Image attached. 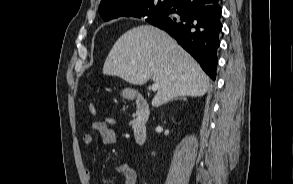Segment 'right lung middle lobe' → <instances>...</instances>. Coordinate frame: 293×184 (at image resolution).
<instances>
[{
	"label": "right lung middle lobe",
	"mask_w": 293,
	"mask_h": 184,
	"mask_svg": "<svg viewBox=\"0 0 293 184\" xmlns=\"http://www.w3.org/2000/svg\"><path fill=\"white\" fill-rule=\"evenodd\" d=\"M163 16V11L161 10H156V9H149V10H146L144 12H140L138 13L135 17H147V21H150V20H155V19H160L162 18Z\"/></svg>",
	"instance_id": "obj_1"
}]
</instances>
